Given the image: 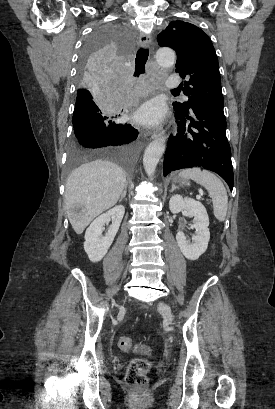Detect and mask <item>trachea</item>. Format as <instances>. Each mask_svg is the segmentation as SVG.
<instances>
[{
    "label": "trachea",
    "mask_w": 275,
    "mask_h": 409,
    "mask_svg": "<svg viewBox=\"0 0 275 409\" xmlns=\"http://www.w3.org/2000/svg\"><path fill=\"white\" fill-rule=\"evenodd\" d=\"M149 56L148 48H140L136 55V65H135V77H139L140 74L145 73V64ZM177 91V89L173 88L171 90Z\"/></svg>",
    "instance_id": "3493384b"
}]
</instances>
